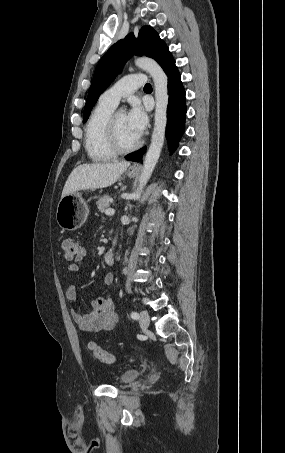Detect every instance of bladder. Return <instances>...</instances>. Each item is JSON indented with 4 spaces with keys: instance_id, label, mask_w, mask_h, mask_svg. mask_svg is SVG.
<instances>
[{
    "instance_id": "1",
    "label": "bladder",
    "mask_w": 285,
    "mask_h": 453,
    "mask_svg": "<svg viewBox=\"0 0 285 453\" xmlns=\"http://www.w3.org/2000/svg\"><path fill=\"white\" fill-rule=\"evenodd\" d=\"M140 375V371L136 369H129L124 371L119 377L117 382L119 384H127L134 381Z\"/></svg>"
}]
</instances>
